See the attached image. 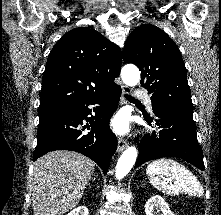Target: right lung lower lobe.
Wrapping results in <instances>:
<instances>
[{
	"label": "right lung lower lobe",
	"instance_id": "right-lung-lower-lobe-1",
	"mask_svg": "<svg viewBox=\"0 0 221 215\" xmlns=\"http://www.w3.org/2000/svg\"><path fill=\"white\" fill-rule=\"evenodd\" d=\"M121 87H112L83 99L72 107L57 113L39 116L37 146L33 161L53 150L79 152L95 161L106 173L110 159L117 149V139L109 127V120L116 110ZM95 116L88 118L92 109ZM87 120L90 126L83 127ZM87 128L89 131H84Z\"/></svg>",
	"mask_w": 221,
	"mask_h": 215
}]
</instances>
